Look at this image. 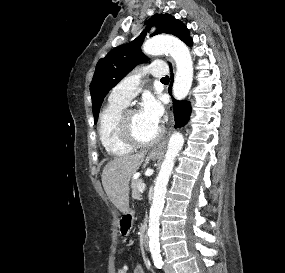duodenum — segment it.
Instances as JSON below:
<instances>
[{
  "mask_svg": "<svg viewBox=\"0 0 285 273\" xmlns=\"http://www.w3.org/2000/svg\"><path fill=\"white\" fill-rule=\"evenodd\" d=\"M148 241H149L148 235L145 234V235L143 236V245H144V248H145V249H148Z\"/></svg>",
  "mask_w": 285,
  "mask_h": 273,
  "instance_id": "obj_1",
  "label": "duodenum"
}]
</instances>
